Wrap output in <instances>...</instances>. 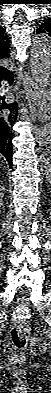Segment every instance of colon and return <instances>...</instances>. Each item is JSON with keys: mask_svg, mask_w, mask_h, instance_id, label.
<instances>
[{"mask_svg": "<svg viewBox=\"0 0 51 393\" xmlns=\"http://www.w3.org/2000/svg\"><path fill=\"white\" fill-rule=\"evenodd\" d=\"M11 340L15 348L23 350L27 347L30 338V328L26 321L19 320L11 328ZM30 350L34 356H42L46 352V344L42 339H33L30 343ZM24 358L21 354H15L12 358V364L19 367Z\"/></svg>", "mask_w": 51, "mask_h": 393, "instance_id": "obj_1", "label": "colon"}]
</instances>
